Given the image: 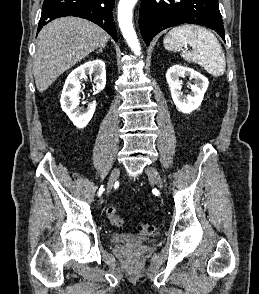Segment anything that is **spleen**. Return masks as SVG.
<instances>
[{"label": "spleen", "instance_id": "obj_1", "mask_svg": "<svg viewBox=\"0 0 259 294\" xmlns=\"http://www.w3.org/2000/svg\"><path fill=\"white\" fill-rule=\"evenodd\" d=\"M165 49L180 51L190 45L192 51H183L181 57L198 63L215 76H221L226 69L225 55L222 47L209 30L196 25H182L171 29L163 40Z\"/></svg>", "mask_w": 259, "mask_h": 294}]
</instances>
